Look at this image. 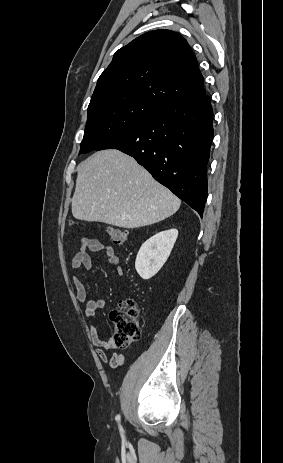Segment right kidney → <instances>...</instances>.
Instances as JSON below:
<instances>
[{"instance_id":"right-kidney-1","label":"right kidney","mask_w":283,"mask_h":463,"mask_svg":"<svg viewBox=\"0 0 283 463\" xmlns=\"http://www.w3.org/2000/svg\"><path fill=\"white\" fill-rule=\"evenodd\" d=\"M178 237V230L157 233L144 242L137 254L135 268L144 280L152 278L167 261Z\"/></svg>"}]
</instances>
